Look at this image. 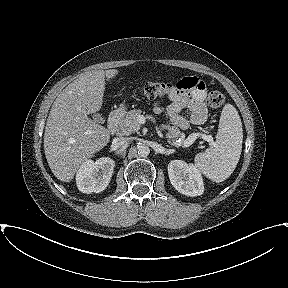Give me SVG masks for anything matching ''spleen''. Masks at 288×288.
<instances>
[{"label": "spleen", "instance_id": "1", "mask_svg": "<svg viewBox=\"0 0 288 288\" xmlns=\"http://www.w3.org/2000/svg\"><path fill=\"white\" fill-rule=\"evenodd\" d=\"M243 142L242 122L231 104L222 110L214 147L195 156L197 169L214 182H223L236 168Z\"/></svg>", "mask_w": 288, "mask_h": 288}]
</instances>
